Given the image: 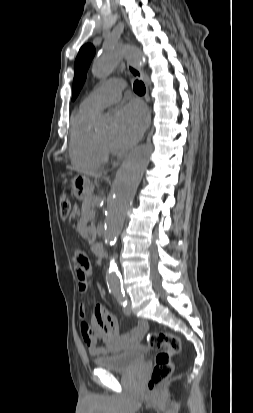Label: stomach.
I'll use <instances>...</instances> for the list:
<instances>
[{
  "label": "stomach",
  "instance_id": "0dacf381",
  "mask_svg": "<svg viewBox=\"0 0 253 413\" xmlns=\"http://www.w3.org/2000/svg\"><path fill=\"white\" fill-rule=\"evenodd\" d=\"M71 183L72 193L77 199L82 200L90 194L91 184L86 176L77 175Z\"/></svg>",
  "mask_w": 253,
  "mask_h": 413
}]
</instances>
